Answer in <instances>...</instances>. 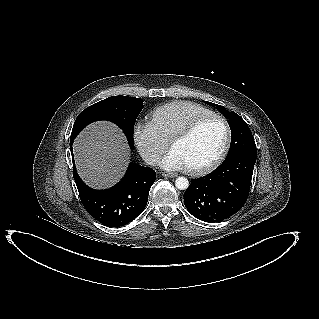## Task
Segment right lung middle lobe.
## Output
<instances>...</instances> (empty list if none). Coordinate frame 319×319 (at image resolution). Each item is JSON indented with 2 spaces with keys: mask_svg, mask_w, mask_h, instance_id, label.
Returning <instances> with one entry per match:
<instances>
[{
  "mask_svg": "<svg viewBox=\"0 0 319 319\" xmlns=\"http://www.w3.org/2000/svg\"><path fill=\"white\" fill-rule=\"evenodd\" d=\"M143 107L142 99L127 96H113L97 102L78 115L73 125L70 140H74L88 124L98 120H107L123 130L132 148L134 146L133 128Z\"/></svg>",
  "mask_w": 319,
  "mask_h": 319,
  "instance_id": "1",
  "label": "right lung middle lobe"
}]
</instances>
